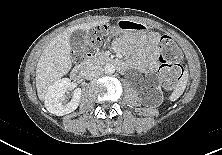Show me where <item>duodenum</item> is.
Segmentation results:
<instances>
[{
    "label": "duodenum",
    "instance_id": "duodenum-1",
    "mask_svg": "<svg viewBox=\"0 0 222 155\" xmlns=\"http://www.w3.org/2000/svg\"><path fill=\"white\" fill-rule=\"evenodd\" d=\"M93 57L92 53L88 52L85 54V60L79 64H77L72 72H71V78L76 80V81H79L83 78L84 76V73H85V70H86V67H87V61H89L91 58ZM113 62V61H111ZM118 66L120 68H123L124 66L120 63H118Z\"/></svg>",
    "mask_w": 222,
    "mask_h": 155
}]
</instances>
